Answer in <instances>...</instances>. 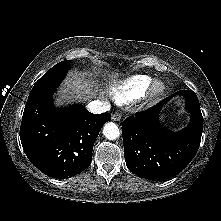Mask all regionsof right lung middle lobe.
I'll list each match as a JSON object with an SVG mask.
<instances>
[{"instance_id":"right-lung-middle-lobe-1","label":"right lung middle lobe","mask_w":221,"mask_h":221,"mask_svg":"<svg viewBox=\"0 0 221 221\" xmlns=\"http://www.w3.org/2000/svg\"><path fill=\"white\" fill-rule=\"evenodd\" d=\"M71 61H62L53 66L35 83L29 97L57 88L70 69Z\"/></svg>"}]
</instances>
